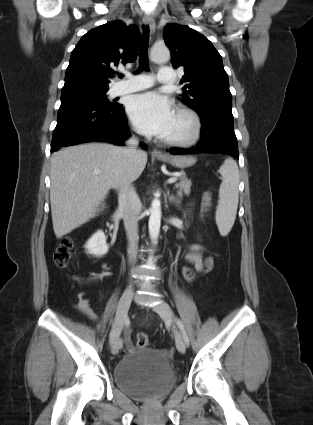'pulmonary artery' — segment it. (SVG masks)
Wrapping results in <instances>:
<instances>
[{
    "instance_id": "obj_1",
    "label": "pulmonary artery",
    "mask_w": 313,
    "mask_h": 425,
    "mask_svg": "<svg viewBox=\"0 0 313 425\" xmlns=\"http://www.w3.org/2000/svg\"><path fill=\"white\" fill-rule=\"evenodd\" d=\"M174 80V71L170 67H162L158 71L157 81L162 84L172 83ZM154 84L152 77L148 74L128 75L125 81L115 83L112 86L114 95H121L130 92L147 89Z\"/></svg>"
}]
</instances>
